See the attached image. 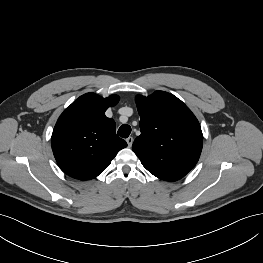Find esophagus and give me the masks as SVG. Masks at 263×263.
I'll list each match as a JSON object with an SVG mask.
<instances>
[{
  "label": "esophagus",
  "instance_id": "1",
  "mask_svg": "<svg viewBox=\"0 0 263 263\" xmlns=\"http://www.w3.org/2000/svg\"><path fill=\"white\" fill-rule=\"evenodd\" d=\"M133 141H134V139H133L132 136H129V137L126 139V142H127L128 147H131V146H132Z\"/></svg>",
  "mask_w": 263,
  "mask_h": 263
}]
</instances>
